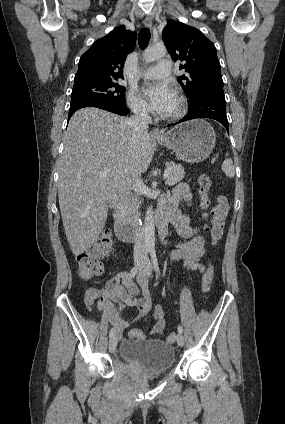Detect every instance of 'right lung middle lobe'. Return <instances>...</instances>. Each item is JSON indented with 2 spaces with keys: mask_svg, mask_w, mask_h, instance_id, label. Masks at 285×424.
<instances>
[{
  "mask_svg": "<svg viewBox=\"0 0 285 424\" xmlns=\"http://www.w3.org/2000/svg\"><path fill=\"white\" fill-rule=\"evenodd\" d=\"M94 97L125 105V88L118 81H89L74 84L72 98Z\"/></svg>",
  "mask_w": 285,
  "mask_h": 424,
  "instance_id": "right-lung-middle-lobe-1",
  "label": "right lung middle lobe"
}]
</instances>
